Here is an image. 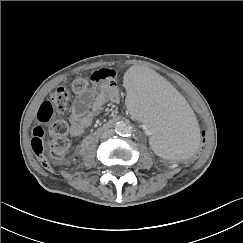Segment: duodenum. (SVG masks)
<instances>
[{"mask_svg": "<svg viewBox=\"0 0 243 243\" xmlns=\"http://www.w3.org/2000/svg\"><path fill=\"white\" fill-rule=\"evenodd\" d=\"M114 121H108L99 128L92 131L88 136L84 138V140L80 144V150H87L90 145L105 131L111 129L113 127Z\"/></svg>", "mask_w": 243, "mask_h": 243, "instance_id": "1", "label": "duodenum"}]
</instances>
